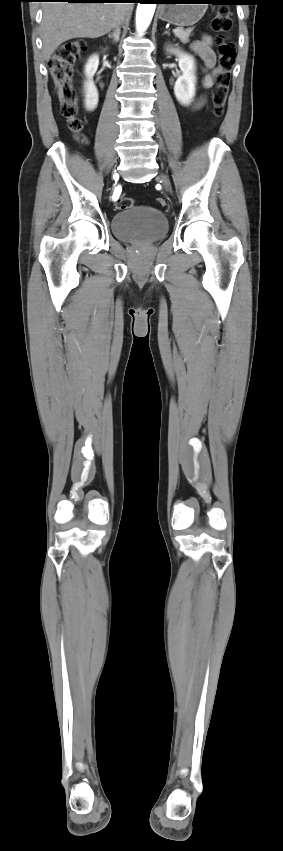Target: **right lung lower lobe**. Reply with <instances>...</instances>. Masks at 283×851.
Returning <instances> with one entry per match:
<instances>
[{
    "label": "right lung lower lobe",
    "mask_w": 283,
    "mask_h": 851,
    "mask_svg": "<svg viewBox=\"0 0 283 851\" xmlns=\"http://www.w3.org/2000/svg\"><path fill=\"white\" fill-rule=\"evenodd\" d=\"M46 1H66V2H104V3H114V2H132L137 3L141 0H46Z\"/></svg>",
    "instance_id": "obj_1"
}]
</instances>
